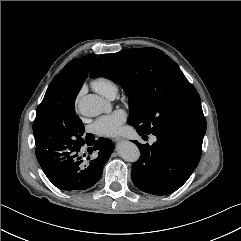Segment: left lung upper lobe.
<instances>
[{
    "label": "left lung upper lobe",
    "instance_id": "obj_1",
    "mask_svg": "<svg viewBox=\"0 0 241 241\" xmlns=\"http://www.w3.org/2000/svg\"><path fill=\"white\" fill-rule=\"evenodd\" d=\"M91 78L120 84L129 98V125L153 135L172 129L204 137L206 120L195 87L159 49L136 48L96 58Z\"/></svg>",
    "mask_w": 241,
    "mask_h": 241
}]
</instances>
